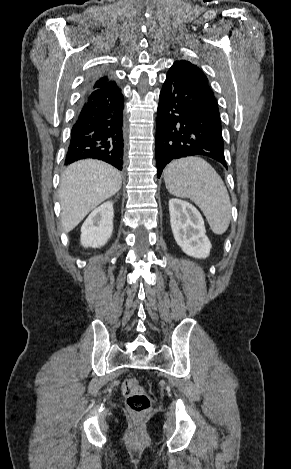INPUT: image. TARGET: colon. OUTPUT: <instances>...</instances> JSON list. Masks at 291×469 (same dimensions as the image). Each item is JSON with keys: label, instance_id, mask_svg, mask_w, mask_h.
<instances>
[{"label": "colon", "instance_id": "1", "mask_svg": "<svg viewBox=\"0 0 291 469\" xmlns=\"http://www.w3.org/2000/svg\"><path fill=\"white\" fill-rule=\"evenodd\" d=\"M122 392L128 410L138 416L148 413L152 401L145 388L135 377H128L122 383Z\"/></svg>", "mask_w": 291, "mask_h": 469}]
</instances>
